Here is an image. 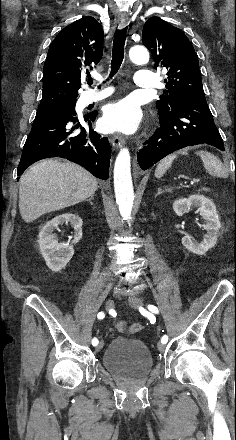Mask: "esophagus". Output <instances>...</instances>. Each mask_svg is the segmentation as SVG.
<instances>
[{
  "instance_id": "1",
  "label": "esophagus",
  "mask_w": 236,
  "mask_h": 440,
  "mask_svg": "<svg viewBox=\"0 0 236 440\" xmlns=\"http://www.w3.org/2000/svg\"><path fill=\"white\" fill-rule=\"evenodd\" d=\"M119 28L122 29L126 27L129 23V18L125 13H120L118 16ZM111 143L113 147L120 148L124 144V139L122 136L116 134L111 138Z\"/></svg>"
}]
</instances>
